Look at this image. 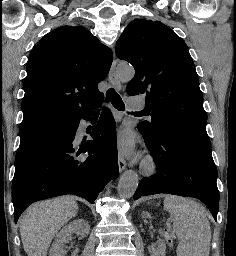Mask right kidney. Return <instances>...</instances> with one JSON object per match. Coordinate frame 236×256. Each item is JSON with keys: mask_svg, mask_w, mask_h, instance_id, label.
Listing matches in <instances>:
<instances>
[{"mask_svg": "<svg viewBox=\"0 0 236 256\" xmlns=\"http://www.w3.org/2000/svg\"><path fill=\"white\" fill-rule=\"evenodd\" d=\"M72 232H76L78 236L84 238L86 234L90 232V226L86 220H74V222H70L68 226H64L61 232L57 234V238L51 246L50 256H65V252L63 250L64 244L71 240ZM78 250H75L71 256H77Z\"/></svg>", "mask_w": 236, "mask_h": 256, "instance_id": "1", "label": "right kidney"}]
</instances>
